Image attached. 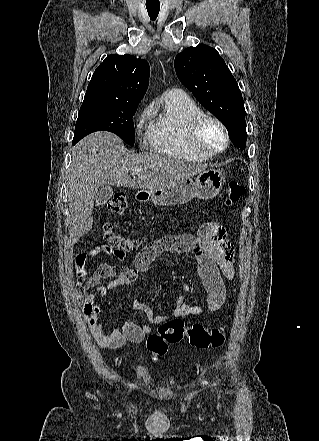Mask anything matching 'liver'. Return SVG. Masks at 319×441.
<instances>
[{"mask_svg": "<svg viewBox=\"0 0 319 441\" xmlns=\"http://www.w3.org/2000/svg\"><path fill=\"white\" fill-rule=\"evenodd\" d=\"M207 167L152 153H130L112 133L88 135L72 149L67 192L70 241L76 243L91 230L99 187L113 185L153 191L174 186ZM134 170H139V174L131 178L129 173Z\"/></svg>", "mask_w": 319, "mask_h": 441, "instance_id": "6515ba94", "label": "liver"}]
</instances>
